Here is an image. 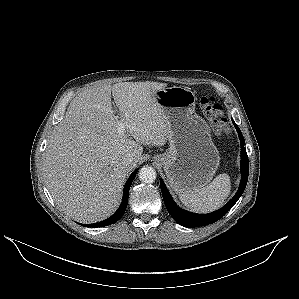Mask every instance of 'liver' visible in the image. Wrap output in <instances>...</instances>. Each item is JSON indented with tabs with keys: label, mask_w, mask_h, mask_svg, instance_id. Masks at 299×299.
I'll return each instance as SVG.
<instances>
[{
	"label": "liver",
	"mask_w": 299,
	"mask_h": 299,
	"mask_svg": "<svg viewBox=\"0 0 299 299\" xmlns=\"http://www.w3.org/2000/svg\"><path fill=\"white\" fill-rule=\"evenodd\" d=\"M158 82H122L79 93L54 128L43 172L52 198L67 216L101 221L121 202L126 176L141 159L143 145L162 146L168 122L155 101ZM111 95L120 113L113 110ZM120 123H125L123 131ZM133 157L129 166L123 158Z\"/></svg>",
	"instance_id": "liver-1"
}]
</instances>
